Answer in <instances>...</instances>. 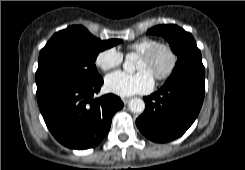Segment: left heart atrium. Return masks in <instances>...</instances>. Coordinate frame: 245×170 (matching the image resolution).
Wrapping results in <instances>:
<instances>
[{
  "label": "left heart atrium",
  "mask_w": 245,
  "mask_h": 170,
  "mask_svg": "<svg viewBox=\"0 0 245 170\" xmlns=\"http://www.w3.org/2000/svg\"><path fill=\"white\" fill-rule=\"evenodd\" d=\"M154 78L147 70L136 73L117 71L105 78L106 89L119 96H131L152 90Z\"/></svg>",
  "instance_id": "obj_1"
}]
</instances>
